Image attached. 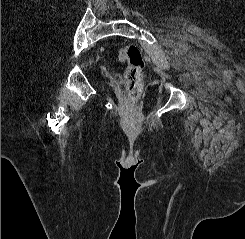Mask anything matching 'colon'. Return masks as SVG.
Listing matches in <instances>:
<instances>
[{
  "mask_svg": "<svg viewBox=\"0 0 245 239\" xmlns=\"http://www.w3.org/2000/svg\"><path fill=\"white\" fill-rule=\"evenodd\" d=\"M119 58L125 64L126 92L130 100H136L143 86L144 59L141 50L134 44L127 45L119 52Z\"/></svg>",
  "mask_w": 245,
  "mask_h": 239,
  "instance_id": "1",
  "label": "colon"
}]
</instances>
